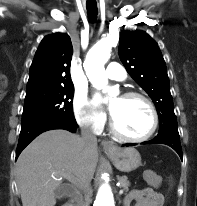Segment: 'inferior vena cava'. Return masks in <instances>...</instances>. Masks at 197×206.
Here are the masks:
<instances>
[{
  "mask_svg": "<svg viewBox=\"0 0 197 206\" xmlns=\"http://www.w3.org/2000/svg\"><path fill=\"white\" fill-rule=\"evenodd\" d=\"M81 136H82L81 138H82L83 146L86 149L97 147V137L92 133L89 127L81 128ZM83 188L85 189V191H88L89 185H84ZM79 206H86L85 202L81 200L79 202Z\"/></svg>",
  "mask_w": 197,
  "mask_h": 206,
  "instance_id": "1",
  "label": "inferior vena cava"
}]
</instances>
